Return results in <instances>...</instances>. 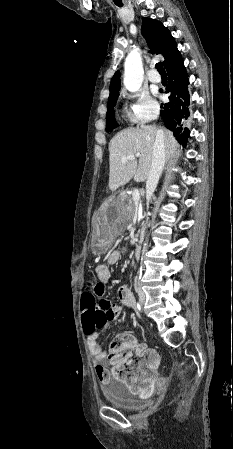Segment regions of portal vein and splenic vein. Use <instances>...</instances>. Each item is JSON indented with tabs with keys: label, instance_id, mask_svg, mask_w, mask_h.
I'll return each instance as SVG.
<instances>
[{
	"label": "portal vein and splenic vein",
	"instance_id": "1",
	"mask_svg": "<svg viewBox=\"0 0 233 449\" xmlns=\"http://www.w3.org/2000/svg\"><path fill=\"white\" fill-rule=\"evenodd\" d=\"M134 159H136V156H135L134 154H130V155L126 156V157H123V158L121 159V162H122V163H125L127 160H134ZM132 199H133V202H134L136 205L139 204V202H140V192H139V190H134V191H133V193H132Z\"/></svg>",
	"mask_w": 233,
	"mask_h": 449
}]
</instances>
